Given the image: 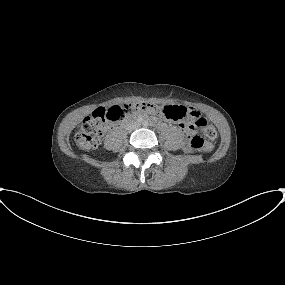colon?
I'll return each mask as SVG.
<instances>
[{
  "instance_id": "colon-1",
  "label": "colon",
  "mask_w": 285,
  "mask_h": 285,
  "mask_svg": "<svg viewBox=\"0 0 285 285\" xmlns=\"http://www.w3.org/2000/svg\"><path fill=\"white\" fill-rule=\"evenodd\" d=\"M142 110L159 112L171 121H181L184 118H187L189 121L192 116L191 111L183 106H160L151 101L115 105L109 109L98 107L87 116L78 127L75 135L78 146L84 150L95 148L100 143L110 123L121 121L127 118L131 113ZM195 123L196 126L204 128L206 137L210 139L216 137V129L212 125L205 126L206 121L202 117L198 118ZM184 128V147L186 149L208 151L212 148L211 143L208 142L202 134L191 132L189 125H184Z\"/></svg>"
}]
</instances>
